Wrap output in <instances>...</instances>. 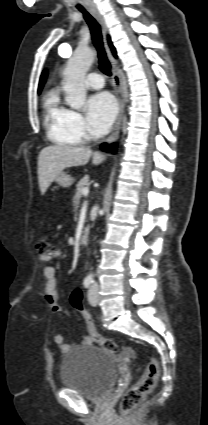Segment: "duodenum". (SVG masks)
I'll return each instance as SVG.
<instances>
[{
    "label": "duodenum",
    "mask_w": 208,
    "mask_h": 425,
    "mask_svg": "<svg viewBox=\"0 0 208 425\" xmlns=\"http://www.w3.org/2000/svg\"><path fill=\"white\" fill-rule=\"evenodd\" d=\"M80 242L83 245H86L89 242V232L87 230H83L81 233Z\"/></svg>",
    "instance_id": "1"
}]
</instances>
